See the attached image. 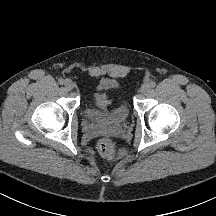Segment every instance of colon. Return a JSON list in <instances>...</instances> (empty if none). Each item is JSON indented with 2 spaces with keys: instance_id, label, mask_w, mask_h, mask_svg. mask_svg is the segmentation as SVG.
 <instances>
[{
  "instance_id": "5ec220e1",
  "label": "colon",
  "mask_w": 216,
  "mask_h": 216,
  "mask_svg": "<svg viewBox=\"0 0 216 216\" xmlns=\"http://www.w3.org/2000/svg\"><path fill=\"white\" fill-rule=\"evenodd\" d=\"M98 152L105 158L112 159L116 154L114 142L109 138H101L97 143Z\"/></svg>"
}]
</instances>
